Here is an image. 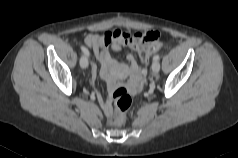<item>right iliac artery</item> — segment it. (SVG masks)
Wrapping results in <instances>:
<instances>
[{
	"mask_svg": "<svg viewBox=\"0 0 238 158\" xmlns=\"http://www.w3.org/2000/svg\"><path fill=\"white\" fill-rule=\"evenodd\" d=\"M81 50H82V52H83L84 54H86L87 56H89V51H88L87 48L81 46Z\"/></svg>",
	"mask_w": 238,
	"mask_h": 158,
	"instance_id": "right-iliac-artery-1",
	"label": "right iliac artery"
}]
</instances>
